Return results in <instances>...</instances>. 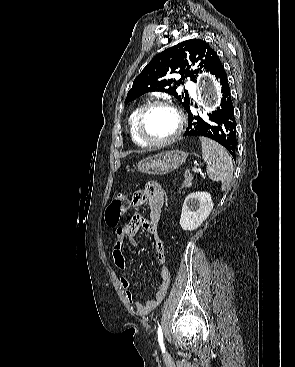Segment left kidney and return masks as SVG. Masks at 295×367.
<instances>
[{
  "label": "left kidney",
  "instance_id": "left-kidney-1",
  "mask_svg": "<svg viewBox=\"0 0 295 367\" xmlns=\"http://www.w3.org/2000/svg\"><path fill=\"white\" fill-rule=\"evenodd\" d=\"M213 209L211 195L207 192H193L183 203L180 226L183 230L197 229L210 215Z\"/></svg>",
  "mask_w": 295,
  "mask_h": 367
}]
</instances>
